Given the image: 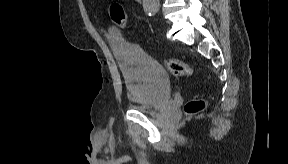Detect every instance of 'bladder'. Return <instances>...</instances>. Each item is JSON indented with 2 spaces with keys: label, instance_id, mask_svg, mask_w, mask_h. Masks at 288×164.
<instances>
[{
  "label": "bladder",
  "instance_id": "obj_1",
  "mask_svg": "<svg viewBox=\"0 0 288 164\" xmlns=\"http://www.w3.org/2000/svg\"><path fill=\"white\" fill-rule=\"evenodd\" d=\"M110 43L120 63L133 110L151 114L171 99V85L164 68L147 53L111 34Z\"/></svg>",
  "mask_w": 288,
  "mask_h": 164
}]
</instances>
